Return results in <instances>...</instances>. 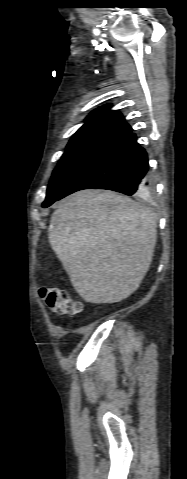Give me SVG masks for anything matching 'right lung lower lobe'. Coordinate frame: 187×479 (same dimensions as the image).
Returning <instances> with one entry per match:
<instances>
[{"instance_id": "1", "label": "right lung lower lobe", "mask_w": 187, "mask_h": 479, "mask_svg": "<svg viewBox=\"0 0 187 479\" xmlns=\"http://www.w3.org/2000/svg\"><path fill=\"white\" fill-rule=\"evenodd\" d=\"M82 189L113 190L141 199L152 197L155 186L149 172L147 153L137 143L134 133L130 132L82 171L55 201Z\"/></svg>"}]
</instances>
